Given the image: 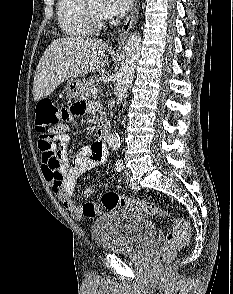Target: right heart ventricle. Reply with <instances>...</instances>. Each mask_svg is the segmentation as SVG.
Returning <instances> with one entry per match:
<instances>
[{
  "label": "right heart ventricle",
  "instance_id": "1",
  "mask_svg": "<svg viewBox=\"0 0 233 294\" xmlns=\"http://www.w3.org/2000/svg\"><path fill=\"white\" fill-rule=\"evenodd\" d=\"M57 18L61 31L71 38H85L92 35L93 28L86 0H59Z\"/></svg>",
  "mask_w": 233,
  "mask_h": 294
}]
</instances>
